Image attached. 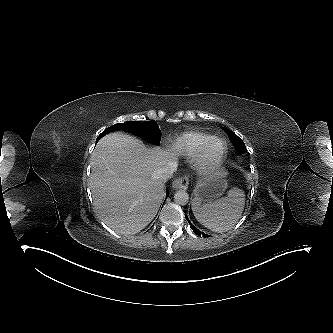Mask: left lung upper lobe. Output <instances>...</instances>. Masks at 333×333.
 Instances as JSON below:
<instances>
[{"instance_id":"1","label":"left lung upper lobe","mask_w":333,"mask_h":333,"mask_svg":"<svg viewBox=\"0 0 333 333\" xmlns=\"http://www.w3.org/2000/svg\"><path fill=\"white\" fill-rule=\"evenodd\" d=\"M229 135L231 141L233 142L234 147L236 148L239 154H243L247 151L244 142L231 130L223 128Z\"/></svg>"}]
</instances>
